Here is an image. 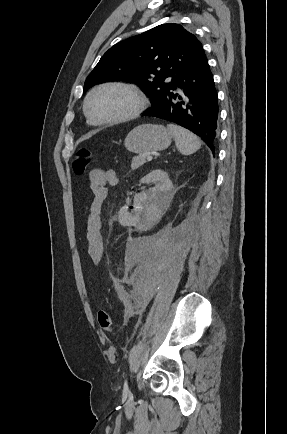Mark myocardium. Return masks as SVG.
I'll return each mask as SVG.
<instances>
[{"label": "myocardium", "instance_id": "f54148a6", "mask_svg": "<svg viewBox=\"0 0 287 434\" xmlns=\"http://www.w3.org/2000/svg\"><path fill=\"white\" fill-rule=\"evenodd\" d=\"M106 87H119L123 88L127 91H129L136 99V104L134 108L127 113L124 116L113 118V119H96L94 118L89 110V103L92 98V96L99 90L106 88ZM147 106V98L144 92L135 84L125 82V81H118V80H111V81H105L100 84H97L94 86L89 93L87 94L85 101H84V113L88 119L89 122H91L94 125H114V124H120L125 123L128 121H131L135 118H137L139 115L143 113V111L146 109Z\"/></svg>", "mask_w": 287, "mask_h": 434}]
</instances>
